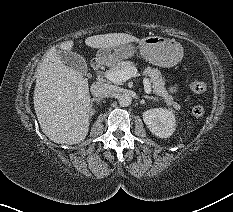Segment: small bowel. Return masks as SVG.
<instances>
[{"mask_svg": "<svg viewBox=\"0 0 233 212\" xmlns=\"http://www.w3.org/2000/svg\"><path fill=\"white\" fill-rule=\"evenodd\" d=\"M170 90L171 91H176V87H171Z\"/></svg>", "mask_w": 233, "mask_h": 212, "instance_id": "small-bowel-1", "label": "small bowel"}]
</instances>
